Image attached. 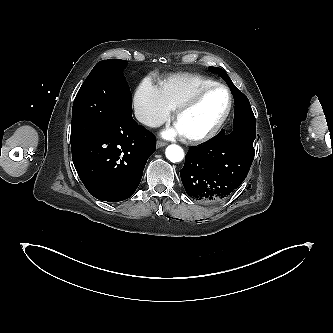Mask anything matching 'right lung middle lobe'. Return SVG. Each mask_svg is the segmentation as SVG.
Wrapping results in <instances>:
<instances>
[{"instance_id":"right-lung-middle-lobe-1","label":"right lung middle lobe","mask_w":333,"mask_h":333,"mask_svg":"<svg viewBox=\"0 0 333 333\" xmlns=\"http://www.w3.org/2000/svg\"><path fill=\"white\" fill-rule=\"evenodd\" d=\"M126 65L125 60L109 59L92 69L73 103L71 146L110 122L123 105L132 108V95L123 75Z\"/></svg>"}]
</instances>
